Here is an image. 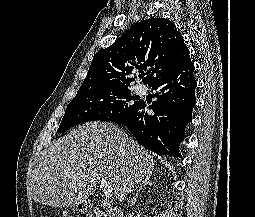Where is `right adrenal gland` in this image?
<instances>
[{"label":"right adrenal gland","mask_w":255,"mask_h":217,"mask_svg":"<svg viewBox=\"0 0 255 217\" xmlns=\"http://www.w3.org/2000/svg\"><path fill=\"white\" fill-rule=\"evenodd\" d=\"M152 184H153V182L151 181V176H148V177L142 179L140 182V187L136 190V195L133 197V199L131 201V205L136 204V201L139 197V192L143 189V187L151 186Z\"/></svg>","instance_id":"2a0ac1e0"}]
</instances>
